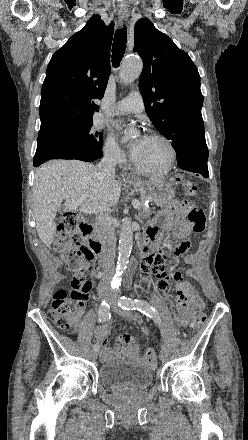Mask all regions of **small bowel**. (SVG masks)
Instances as JSON below:
<instances>
[{
	"mask_svg": "<svg viewBox=\"0 0 248 440\" xmlns=\"http://www.w3.org/2000/svg\"><path fill=\"white\" fill-rule=\"evenodd\" d=\"M185 211L181 209L180 204H175L167 208L160 216L155 218L147 230L148 242L156 248L154 256L143 258L142 280L145 281L149 275V267L156 274L158 280L156 284L149 285L147 290L152 293L158 292L159 288L162 290L164 297L170 302L174 320L177 325H181V329H186V323L189 321L192 312L200 307V302L193 287L183 279L181 273L176 272L173 278L177 281L176 298L172 299L167 292L170 284V277L167 276V263L164 262L165 256L159 250L158 243L162 230L168 228L176 232L183 238L177 244L174 250L175 256L183 255L189 248V235L191 232L189 224L183 220L182 215ZM187 264L193 265L196 262L195 255H187L185 257ZM100 269L94 267L93 271L98 272ZM194 273L193 269L188 271L189 275ZM83 306L76 309L77 317L83 314ZM138 321V320H136ZM111 326L109 323L98 326L95 329V337L97 345L101 346L100 358L102 361H110L125 357L132 360H139V348L135 338L130 334H124L117 340L115 348H111L108 344V336ZM144 362V360H142Z\"/></svg>",
	"mask_w": 248,
	"mask_h": 440,
	"instance_id": "small-bowel-1",
	"label": "small bowel"
}]
</instances>
